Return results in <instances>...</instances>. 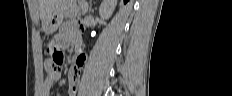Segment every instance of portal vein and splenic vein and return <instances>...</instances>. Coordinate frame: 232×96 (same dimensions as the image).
Masks as SVG:
<instances>
[{
	"label": "portal vein and splenic vein",
	"mask_w": 232,
	"mask_h": 96,
	"mask_svg": "<svg viewBox=\"0 0 232 96\" xmlns=\"http://www.w3.org/2000/svg\"><path fill=\"white\" fill-rule=\"evenodd\" d=\"M86 9H87V7L85 6V7L83 8V13H86Z\"/></svg>",
	"instance_id": "portal-vein-and-splenic-vein-1"
}]
</instances>
